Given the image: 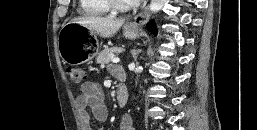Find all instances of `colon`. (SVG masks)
Segmentation results:
<instances>
[{
	"label": "colon",
	"instance_id": "obj_1",
	"mask_svg": "<svg viewBox=\"0 0 257 130\" xmlns=\"http://www.w3.org/2000/svg\"><path fill=\"white\" fill-rule=\"evenodd\" d=\"M67 72L71 80L75 83H80L85 79V72L79 67H69Z\"/></svg>",
	"mask_w": 257,
	"mask_h": 130
}]
</instances>
